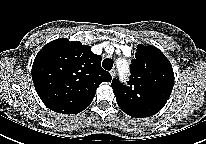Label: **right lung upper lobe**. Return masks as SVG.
Instances as JSON below:
<instances>
[{
  "label": "right lung upper lobe",
  "instance_id": "obj_1",
  "mask_svg": "<svg viewBox=\"0 0 206 144\" xmlns=\"http://www.w3.org/2000/svg\"><path fill=\"white\" fill-rule=\"evenodd\" d=\"M101 56L79 41L57 39L46 44L32 66V80L51 110L77 114L92 102L97 87L112 77L101 67Z\"/></svg>",
  "mask_w": 206,
  "mask_h": 144
}]
</instances>
